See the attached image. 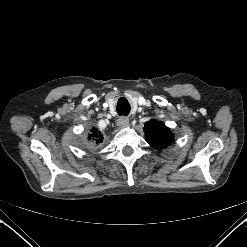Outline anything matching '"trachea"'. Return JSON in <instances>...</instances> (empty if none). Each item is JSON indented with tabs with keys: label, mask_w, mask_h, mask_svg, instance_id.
I'll return each instance as SVG.
<instances>
[{
	"label": "trachea",
	"mask_w": 247,
	"mask_h": 247,
	"mask_svg": "<svg viewBox=\"0 0 247 247\" xmlns=\"http://www.w3.org/2000/svg\"><path fill=\"white\" fill-rule=\"evenodd\" d=\"M117 112L119 115H128L130 112V105L128 103L119 102L117 105Z\"/></svg>",
	"instance_id": "obj_1"
}]
</instances>
